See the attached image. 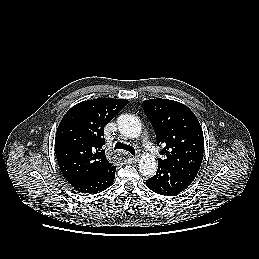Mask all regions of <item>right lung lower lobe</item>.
Returning a JSON list of instances; mask_svg holds the SVG:
<instances>
[{"label":"right lung lower lobe","instance_id":"right-lung-lower-lobe-1","mask_svg":"<svg viewBox=\"0 0 259 259\" xmlns=\"http://www.w3.org/2000/svg\"><path fill=\"white\" fill-rule=\"evenodd\" d=\"M115 171L116 167L111 166L88 179L73 184L72 186L82 193L97 194L112 185L115 179Z\"/></svg>","mask_w":259,"mask_h":259}]
</instances>
